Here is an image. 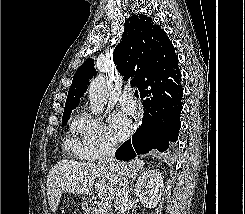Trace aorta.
Instances as JSON below:
<instances>
[{
  "instance_id": "762f6f07",
  "label": "aorta",
  "mask_w": 245,
  "mask_h": 214,
  "mask_svg": "<svg viewBox=\"0 0 245 214\" xmlns=\"http://www.w3.org/2000/svg\"><path fill=\"white\" fill-rule=\"evenodd\" d=\"M88 97L92 114H101L105 109L107 101L106 81L103 75H98L91 81Z\"/></svg>"
}]
</instances>
